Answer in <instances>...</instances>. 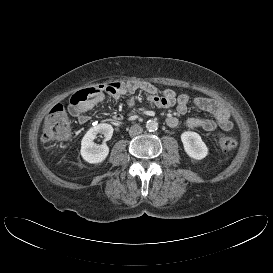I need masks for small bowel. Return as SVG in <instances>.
Instances as JSON below:
<instances>
[{
	"mask_svg": "<svg viewBox=\"0 0 273 273\" xmlns=\"http://www.w3.org/2000/svg\"><path fill=\"white\" fill-rule=\"evenodd\" d=\"M112 84L100 86L96 88L95 92L89 99L79 104H72L70 102L69 111L73 117L77 119L80 124H86L90 121V117L86 114L89 110L93 109L96 105L102 102L106 95L111 96L115 100L123 97H128V108L134 105L133 96L136 91H143L147 95L150 103L160 108H171L176 106V111L180 115H185L188 111L190 98L187 94L177 95L171 89L163 91L158 90L154 85L146 81H131L125 84H119L114 87ZM195 108L208 112L212 118L189 117L184 121V124L189 128H201L205 131H214L218 128L224 131L233 129V123L230 120L228 110L218 101L207 98L198 97L193 100ZM122 114H115L114 121H121ZM168 126L174 128L180 124L179 118L176 116H169L166 119Z\"/></svg>",
	"mask_w": 273,
	"mask_h": 273,
	"instance_id": "1",
	"label": "small bowel"
}]
</instances>
